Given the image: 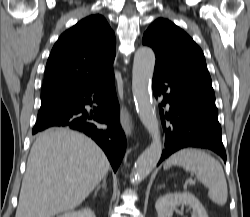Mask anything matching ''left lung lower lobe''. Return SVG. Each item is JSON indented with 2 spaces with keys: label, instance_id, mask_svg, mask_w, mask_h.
<instances>
[{
  "label": "left lung lower lobe",
  "instance_id": "0a47b994",
  "mask_svg": "<svg viewBox=\"0 0 250 217\" xmlns=\"http://www.w3.org/2000/svg\"><path fill=\"white\" fill-rule=\"evenodd\" d=\"M152 88L156 98L163 96L159 112L165 149L159 163L188 147L210 149L226 162L212 83L154 70ZM167 104L169 109L165 111L162 107Z\"/></svg>",
  "mask_w": 250,
  "mask_h": 217
}]
</instances>
